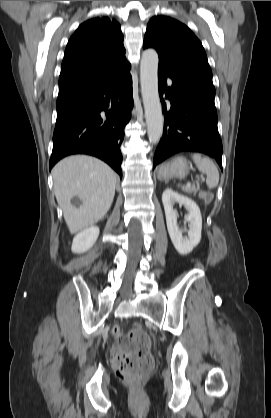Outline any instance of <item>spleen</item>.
Masks as SVG:
<instances>
[{"label":"spleen","mask_w":271,"mask_h":418,"mask_svg":"<svg viewBox=\"0 0 271 418\" xmlns=\"http://www.w3.org/2000/svg\"><path fill=\"white\" fill-rule=\"evenodd\" d=\"M192 159L199 171L206 174L208 188L216 187L219 183V172L214 162L207 157H202L200 154H192Z\"/></svg>","instance_id":"spleen-1"}]
</instances>
